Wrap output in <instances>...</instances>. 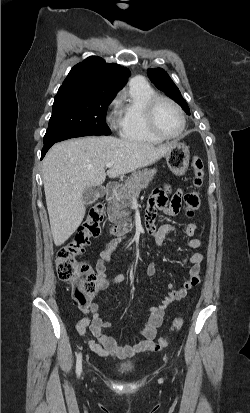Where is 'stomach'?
Returning a JSON list of instances; mask_svg holds the SVG:
<instances>
[{
    "label": "stomach",
    "mask_w": 250,
    "mask_h": 413,
    "mask_svg": "<svg viewBox=\"0 0 250 413\" xmlns=\"http://www.w3.org/2000/svg\"><path fill=\"white\" fill-rule=\"evenodd\" d=\"M165 158L173 174L182 176L186 173L189 166V149L185 144L174 142Z\"/></svg>",
    "instance_id": "stomach-1"
}]
</instances>
